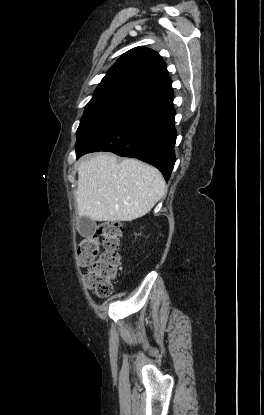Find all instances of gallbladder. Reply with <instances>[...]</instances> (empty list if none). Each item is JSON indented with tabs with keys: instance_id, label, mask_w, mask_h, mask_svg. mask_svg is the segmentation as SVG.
<instances>
[{
	"instance_id": "bac80fb5",
	"label": "gallbladder",
	"mask_w": 264,
	"mask_h": 415,
	"mask_svg": "<svg viewBox=\"0 0 264 415\" xmlns=\"http://www.w3.org/2000/svg\"><path fill=\"white\" fill-rule=\"evenodd\" d=\"M79 232L84 237H89L94 232V221L88 217H81L79 221Z\"/></svg>"
}]
</instances>
